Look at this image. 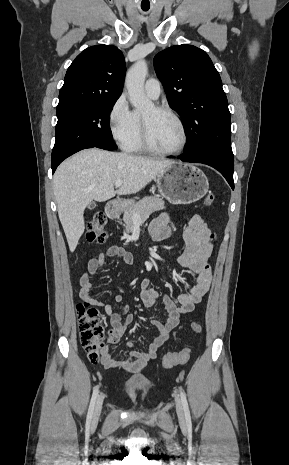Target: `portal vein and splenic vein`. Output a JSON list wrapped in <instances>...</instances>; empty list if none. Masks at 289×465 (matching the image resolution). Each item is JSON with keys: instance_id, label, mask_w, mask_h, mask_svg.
Instances as JSON below:
<instances>
[{"instance_id": "1", "label": "portal vein and splenic vein", "mask_w": 289, "mask_h": 465, "mask_svg": "<svg viewBox=\"0 0 289 465\" xmlns=\"http://www.w3.org/2000/svg\"><path fill=\"white\" fill-rule=\"evenodd\" d=\"M122 183H123V181H122V180H118V181H116V182H115V186H116V187H120V186L122 185ZM135 219L137 220V219H138V217H137V216H135Z\"/></svg>"}]
</instances>
